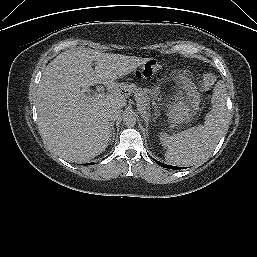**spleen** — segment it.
I'll use <instances>...</instances> for the list:
<instances>
[{
	"label": "spleen",
	"instance_id": "obj_1",
	"mask_svg": "<svg viewBox=\"0 0 257 257\" xmlns=\"http://www.w3.org/2000/svg\"><path fill=\"white\" fill-rule=\"evenodd\" d=\"M211 110L205 124L174 135L161 132L160 142L166 148L165 160L173 165H195L207 160L227 128L226 91L221 83L214 89Z\"/></svg>",
	"mask_w": 257,
	"mask_h": 257
}]
</instances>
